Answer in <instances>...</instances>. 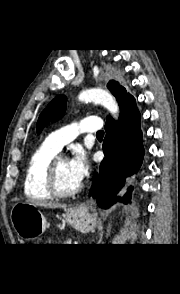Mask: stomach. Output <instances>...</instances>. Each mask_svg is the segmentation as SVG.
Here are the masks:
<instances>
[{
    "label": "stomach",
    "instance_id": "1",
    "mask_svg": "<svg viewBox=\"0 0 180 294\" xmlns=\"http://www.w3.org/2000/svg\"><path fill=\"white\" fill-rule=\"evenodd\" d=\"M66 221L81 232H89L96 227V219L83 208H69L66 211ZM11 222L17 235L25 240L37 239L47 227L44 215L27 202H17L13 205Z\"/></svg>",
    "mask_w": 180,
    "mask_h": 294
}]
</instances>
